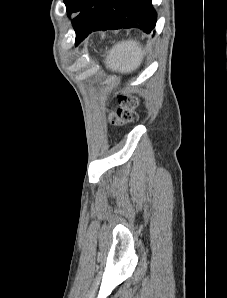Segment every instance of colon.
<instances>
[{"mask_svg":"<svg viewBox=\"0 0 227 298\" xmlns=\"http://www.w3.org/2000/svg\"><path fill=\"white\" fill-rule=\"evenodd\" d=\"M138 99L129 94H118V104L115 111L109 112V120L114 125H125L138 120Z\"/></svg>","mask_w":227,"mask_h":298,"instance_id":"colon-1","label":"colon"}]
</instances>
